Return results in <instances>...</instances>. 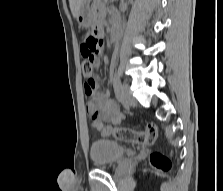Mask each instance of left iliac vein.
<instances>
[{
  "label": "left iliac vein",
  "mask_w": 223,
  "mask_h": 191,
  "mask_svg": "<svg viewBox=\"0 0 223 191\" xmlns=\"http://www.w3.org/2000/svg\"><path fill=\"white\" fill-rule=\"evenodd\" d=\"M120 100L126 107H134L136 105V99L132 96L127 84H122L120 87Z\"/></svg>",
  "instance_id": "left-iliac-vein-1"
}]
</instances>
